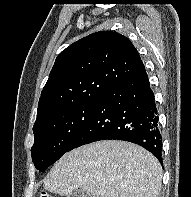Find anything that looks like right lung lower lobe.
<instances>
[{"mask_svg": "<svg viewBox=\"0 0 191 197\" xmlns=\"http://www.w3.org/2000/svg\"><path fill=\"white\" fill-rule=\"evenodd\" d=\"M105 139L138 144L162 162L158 112L145 70L113 84L102 94L68 151Z\"/></svg>", "mask_w": 191, "mask_h": 197, "instance_id": "obj_1", "label": "right lung lower lobe"}]
</instances>
